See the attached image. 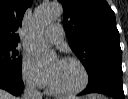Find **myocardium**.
Masks as SVG:
<instances>
[{"label": "myocardium", "mask_w": 128, "mask_h": 99, "mask_svg": "<svg viewBox=\"0 0 128 99\" xmlns=\"http://www.w3.org/2000/svg\"><path fill=\"white\" fill-rule=\"evenodd\" d=\"M59 60L65 61V62H74V63H76L82 71L83 82L78 88H76L74 90L63 91V90H60L56 87V85L54 84V82L52 80L51 75L49 74L48 75V80H49V85H50L51 91L54 94H56L58 96H61V97H73V96H76V95L80 94L82 91H84L86 89V87L88 86V83H89V73H88V70H87L86 66L84 65V63L81 60H79L78 58H75V57L67 56V57H62Z\"/></svg>", "instance_id": "1"}]
</instances>
